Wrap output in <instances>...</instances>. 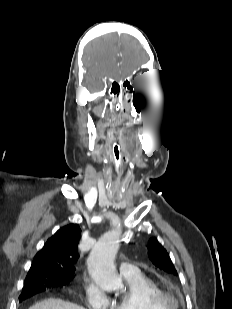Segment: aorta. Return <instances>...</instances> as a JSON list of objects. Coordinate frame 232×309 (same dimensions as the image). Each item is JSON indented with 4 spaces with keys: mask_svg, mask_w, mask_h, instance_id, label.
<instances>
[{
    "mask_svg": "<svg viewBox=\"0 0 232 309\" xmlns=\"http://www.w3.org/2000/svg\"><path fill=\"white\" fill-rule=\"evenodd\" d=\"M120 234L119 226L105 233L94 245L87 260L89 274L106 291H118L122 286L114 267Z\"/></svg>",
    "mask_w": 232,
    "mask_h": 309,
    "instance_id": "1",
    "label": "aorta"
}]
</instances>
